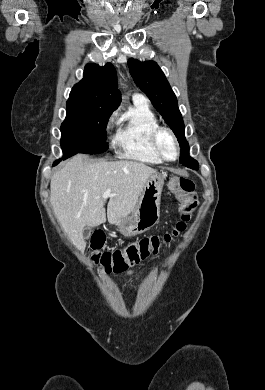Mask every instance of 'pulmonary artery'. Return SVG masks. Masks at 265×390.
Listing matches in <instances>:
<instances>
[{"instance_id": "obj_1", "label": "pulmonary artery", "mask_w": 265, "mask_h": 390, "mask_svg": "<svg viewBox=\"0 0 265 390\" xmlns=\"http://www.w3.org/2000/svg\"><path fill=\"white\" fill-rule=\"evenodd\" d=\"M133 100H134V102L146 103L145 97L140 95V94H134L133 95Z\"/></svg>"}]
</instances>
